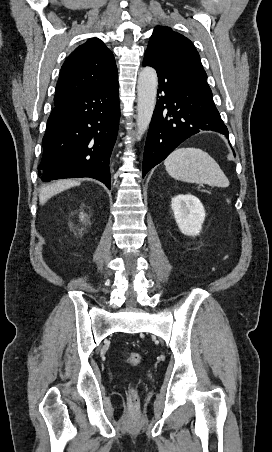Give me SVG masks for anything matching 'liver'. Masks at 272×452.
<instances>
[{
	"label": "liver",
	"mask_w": 272,
	"mask_h": 452,
	"mask_svg": "<svg viewBox=\"0 0 272 452\" xmlns=\"http://www.w3.org/2000/svg\"><path fill=\"white\" fill-rule=\"evenodd\" d=\"M79 184L78 180L64 179L43 187L39 194L40 204H45L52 196Z\"/></svg>",
	"instance_id": "liver-1"
}]
</instances>
